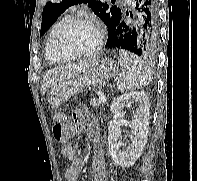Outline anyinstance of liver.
Segmentation results:
<instances>
[{
	"label": "liver",
	"mask_w": 197,
	"mask_h": 181,
	"mask_svg": "<svg viewBox=\"0 0 197 181\" xmlns=\"http://www.w3.org/2000/svg\"><path fill=\"white\" fill-rule=\"evenodd\" d=\"M88 63H79L67 66H58L50 69L44 76L43 83L41 85V94H44L49 88L53 87L57 82L64 79L73 77L77 73L86 69Z\"/></svg>",
	"instance_id": "obj_1"
}]
</instances>
